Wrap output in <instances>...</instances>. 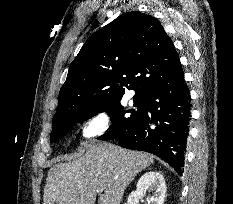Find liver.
Masks as SVG:
<instances>
[{
    "instance_id": "liver-1",
    "label": "liver",
    "mask_w": 233,
    "mask_h": 204,
    "mask_svg": "<svg viewBox=\"0 0 233 204\" xmlns=\"http://www.w3.org/2000/svg\"><path fill=\"white\" fill-rule=\"evenodd\" d=\"M81 149L77 159L50 168L43 204H95L99 188L98 204H120L130 182L154 162L147 153L107 142H84Z\"/></svg>"
}]
</instances>
